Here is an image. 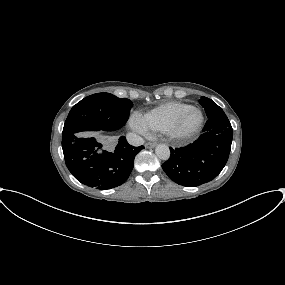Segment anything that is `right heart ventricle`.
Wrapping results in <instances>:
<instances>
[{"instance_id":"obj_1","label":"right heart ventricle","mask_w":285,"mask_h":285,"mask_svg":"<svg viewBox=\"0 0 285 285\" xmlns=\"http://www.w3.org/2000/svg\"><path fill=\"white\" fill-rule=\"evenodd\" d=\"M189 107L191 105L184 102H166L143 115L137 116V120L148 132L157 131L166 133L177 117Z\"/></svg>"}]
</instances>
